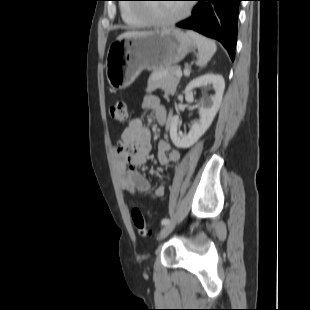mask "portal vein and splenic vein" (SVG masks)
<instances>
[{"mask_svg": "<svg viewBox=\"0 0 310 310\" xmlns=\"http://www.w3.org/2000/svg\"><path fill=\"white\" fill-rule=\"evenodd\" d=\"M176 76L180 78V77L182 76V71H181V70H178V71L176 72Z\"/></svg>", "mask_w": 310, "mask_h": 310, "instance_id": "18ae733b", "label": "portal vein and splenic vein"}]
</instances>
